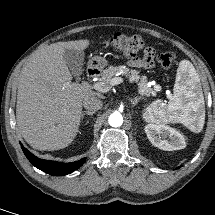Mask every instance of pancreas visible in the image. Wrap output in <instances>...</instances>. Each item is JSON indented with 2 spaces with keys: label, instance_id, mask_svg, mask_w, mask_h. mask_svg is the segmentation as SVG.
Here are the masks:
<instances>
[{
  "label": "pancreas",
  "instance_id": "pancreas-1",
  "mask_svg": "<svg viewBox=\"0 0 215 215\" xmlns=\"http://www.w3.org/2000/svg\"><path fill=\"white\" fill-rule=\"evenodd\" d=\"M120 72L126 73L128 79L130 82H135L138 85V92L141 95L145 96H155L156 92L161 90V87L159 85H155L154 89H152L148 85V80L146 76H140L139 71L136 69H130L126 66H109L107 69L103 70V73L100 78V82H103L105 84H109L110 81L113 79V76L116 74H119Z\"/></svg>",
  "mask_w": 215,
  "mask_h": 215
}]
</instances>
